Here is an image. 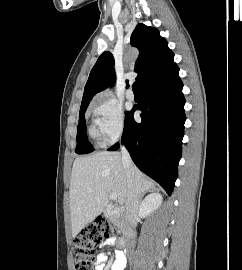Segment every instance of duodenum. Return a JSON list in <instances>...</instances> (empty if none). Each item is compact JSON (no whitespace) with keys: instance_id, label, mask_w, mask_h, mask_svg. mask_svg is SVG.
Masks as SVG:
<instances>
[{"instance_id":"obj_1","label":"duodenum","mask_w":242,"mask_h":270,"mask_svg":"<svg viewBox=\"0 0 242 270\" xmlns=\"http://www.w3.org/2000/svg\"><path fill=\"white\" fill-rule=\"evenodd\" d=\"M120 214H122L121 210L116 209V208L111 207V206L107 207V209L103 212V216H105V217H112V216H117V215H120ZM127 217L131 218L132 215L127 214ZM133 237H134L133 230L132 229L127 230L126 236L118 241L119 246L125 247L127 245L128 241L130 239H132Z\"/></svg>"}]
</instances>
